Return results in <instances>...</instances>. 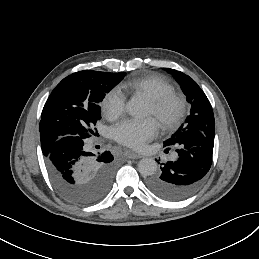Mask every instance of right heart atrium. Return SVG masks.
I'll return each mask as SVG.
<instances>
[{
	"label": "right heart atrium",
	"mask_w": 259,
	"mask_h": 259,
	"mask_svg": "<svg viewBox=\"0 0 259 259\" xmlns=\"http://www.w3.org/2000/svg\"><path fill=\"white\" fill-rule=\"evenodd\" d=\"M125 98L117 90H111L105 97V107L108 114L117 117L125 111Z\"/></svg>",
	"instance_id": "1"
}]
</instances>
